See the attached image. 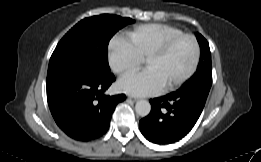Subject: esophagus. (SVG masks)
Instances as JSON below:
<instances>
[{
  "instance_id": "esophagus-1",
  "label": "esophagus",
  "mask_w": 261,
  "mask_h": 162,
  "mask_svg": "<svg viewBox=\"0 0 261 162\" xmlns=\"http://www.w3.org/2000/svg\"><path fill=\"white\" fill-rule=\"evenodd\" d=\"M127 99H128V100H131V101H133V102H136V101H138V99H137V98H133V97H131V96H128V97H127Z\"/></svg>"
}]
</instances>
